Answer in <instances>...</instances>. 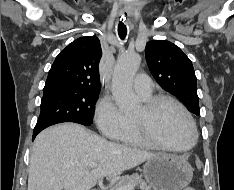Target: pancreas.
I'll return each instance as SVG.
<instances>
[{
  "label": "pancreas",
  "mask_w": 234,
  "mask_h": 190,
  "mask_svg": "<svg viewBox=\"0 0 234 190\" xmlns=\"http://www.w3.org/2000/svg\"><path fill=\"white\" fill-rule=\"evenodd\" d=\"M134 186L139 187L141 190H151V187L137 173L122 177L114 187Z\"/></svg>",
  "instance_id": "cf45deb5"
}]
</instances>
